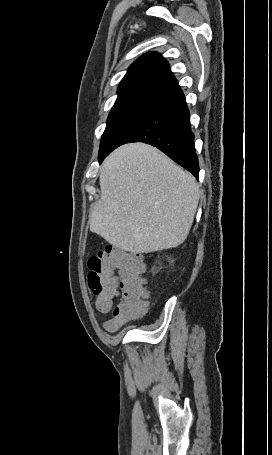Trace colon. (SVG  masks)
Returning <instances> with one entry per match:
<instances>
[{
    "instance_id": "1",
    "label": "colon",
    "mask_w": 272,
    "mask_h": 455,
    "mask_svg": "<svg viewBox=\"0 0 272 455\" xmlns=\"http://www.w3.org/2000/svg\"><path fill=\"white\" fill-rule=\"evenodd\" d=\"M88 286L100 312L111 311L107 328L115 330L144 314L148 292L140 256L107 246L88 260ZM119 289L121 300L115 303Z\"/></svg>"
}]
</instances>
